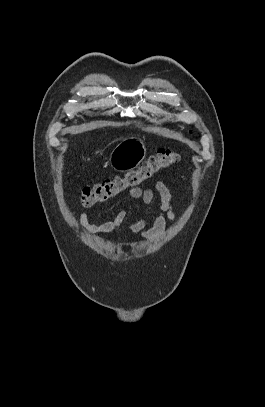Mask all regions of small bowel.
<instances>
[{
  "label": "small bowel",
  "mask_w": 265,
  "mask_h": 407,
  "mask_svg": "<svg viewBox=\"0 0 265 407\" xmlns=\"http://www.w3.org/2000/svg\"><path fill=\"white\" fill-rule=\"evenodd\" d=\"M155 188L160 196V210L151 227L147 228V220L145 218L135 221L128 227L129 233L139 234L146 240H152L161 235L166 230L168 223L176 219L171 193L167 185L163 181H158ZM129 195L134 199H141L145 204H151L154 200V192L151 189L142 190L139 187H134L129 190ZM127 216L128 212L122 210L112 220L101 223H91L88 215L85 212H81L78 217V222L89 232L102 234L116 231L126 220Z\"/></svg>",
  "instance_id": "1"
}]
</instances>
